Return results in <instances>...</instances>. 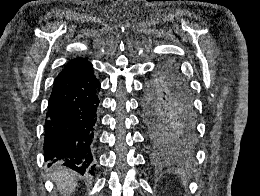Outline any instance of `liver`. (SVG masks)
<instances>
[{
	"label": "liver",
	"mask_w": 260,
	"mask_h": 196,
	"mask_svg": "<svg viewBox=\"0 0 260 196\" xmlns=\"http://www.w3.org/2000/svg\"><path fill=\"white\" fill-rule=\"evenodd\" d=\"M74 176H76L75 172L69 170V168H63V166H58L55 172L52 174V180H55L58 190H60L61 194L67 196L68 192H74L77 184H73Z\"/></svg>",
	"instance_id": "1"
}]
</instances>
